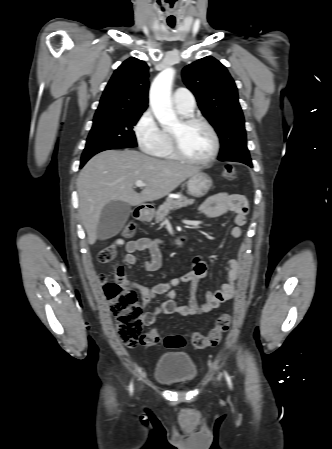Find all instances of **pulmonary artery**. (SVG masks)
Segmentation results:
<instances>
[{
  "label": "pulmonary artery",
  "instance_id": "pulmonary-artery-1",
  "mask_svg": "<svg viewBox=\"0 0 332 449\" xmlns=\"http://www.w3.org/2000/svg\"><path fill=\"white\" fill-rule=\"evenodd\" d=\"M172 101L174 106L182 113L189 114L195 108V98L186 88L180 87L175 90Z\"/></svg>",
  "mask_w": 332,
  "mask_h": 449
}]
</instances>
